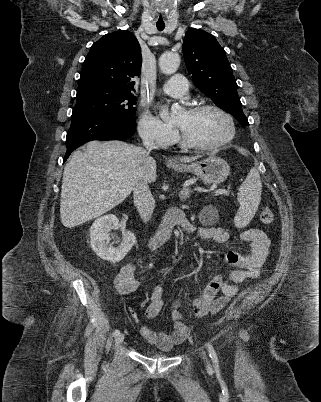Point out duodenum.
I'll list each match as a JSON object with an SVG mask.
<instances>
[{
	"label": "duodenum",
	"instance_id": "410a0bca",
	"mask_svg": "<svg viewBox=\"0 0 321 402\" xmlns=\"http://www.w3.org/2000/svg\"><path fill=\"white\" fill-rule=\"evenodd\" d=\"M185 221V214L180 209L174 208L168 211L160 229L151 239V248L155 249L164 245L170 239L174 229Z\"/></svg>",
	"mask_w": 321,
	"mask_h": 402
}]
</instances>
